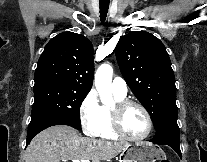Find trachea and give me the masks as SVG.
<instances>
[{"label": "trachea", "instance_id": "1", "mask_svg": "<svg viewBox=\"0 0 207 162\" xmlns=\"http://www.w3.org/2000/svg\"><path fill=\"white\" fill-rule=\"evenodd\" d=\"M110 0H100V19L103 23L106 19L108 9H109Z\"/></svg>", "mask_w": 207, "mask_h": 162}]
</instances>
